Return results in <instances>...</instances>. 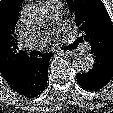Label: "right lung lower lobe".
I'll list each match as a JSON object with an SVG mask.
<instances>
[{"instance_id": "98d812e1", "label": "right lung lower lobe", "mask_w": 113, "mask_h": 113, "mask_svg": "<svg viewBox=\"0 0 113 113\" xmlns=\"http://www.w3.org/2000/svg\"><path fill=\"white\" fill-rule=\"evenodd\" d=\"M52 53H44L41 57H31L20 78L9 83L11 89L18 94L33 98L41 94L48 80V65Z\"/></svg>"}]
</instances>
